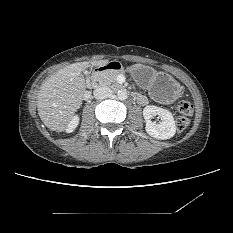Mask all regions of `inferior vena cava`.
<instances>
[{
	"label": "inferior vena cava",
	"instance_id": "1",
	"mask_svg": "<svg viewBox=\"0 0 233 233\" xmlns=\"http://www.w3.org/2000/svg\"><path fill=\"white\" fill-rule=\"evenodd\" d=\"M94 97L98 100L108 98L112 95V90L108 86L97 87L94 92Z\"/></svg>",
	"mask_w": 233,
	"mask_h": 233
}]
</instances>
